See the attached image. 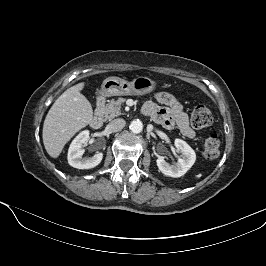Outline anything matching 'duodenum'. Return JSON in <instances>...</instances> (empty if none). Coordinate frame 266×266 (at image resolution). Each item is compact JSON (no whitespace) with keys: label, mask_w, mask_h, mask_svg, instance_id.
I'll list each match as a JSON object with an SVG mask.
<instances>
[{"label":"duodenum","mask_w":266,"mask_h":266,"mask_svg":"<svg viewBox=\"0 0 266 266\" xmlns=\"http://www.w3.org/2000/svg\"><path fill=\"white\" fill-rule=\"evenodd\" d=\"M104 100H105V95L103 93H98L95 98L96 109H95L94 115L92 116L90 120V125L94 129L100 128L103 124V116H102L101 109H102Z\"/></svg>","instance_id":"1"}]
</instances>
